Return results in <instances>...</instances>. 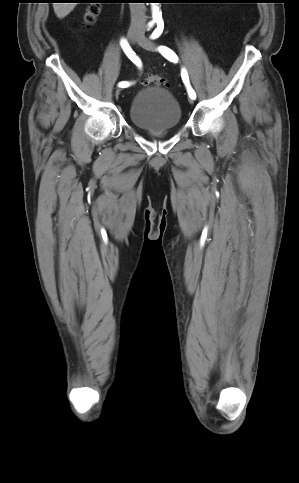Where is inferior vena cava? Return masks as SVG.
<instances>
[{
	"label": "inferior vena cava",
	"mask_w": 299,
	"mask_h": 483,
	"mask_svg": "<svg viewBox=\"0 0 299 483\" xmlns=\"http://www.w3.org/2000/svg\"><path fill=\"white\" fill-rule=\"evenodd\" d=\"M131 28L143 31L146 23L145 4L130 3Z\"/></svg>",
	"instance_id": "1"
}]
</instances>
